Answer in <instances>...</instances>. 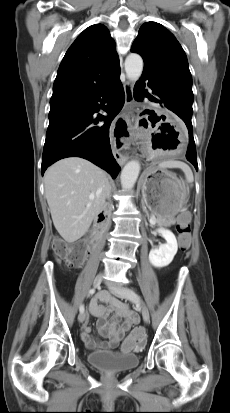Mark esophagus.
<instances>
[{"mask_svg": "<svg viewBox=\"0 0 230 413\" xmlns=\"http://www.w3.org/2000/svg\"><path fill=\"white\" fill-rule=\"evenodd\" d=\"M123 87H124V92H125V106H124L122 115H125V114L132 113L131 105L134 102V96H133L134 84L130 81H126ZM114 156L119 165L125 164V162L129 158L128 156L122 155L117 150H115Z\"/></svg>", "mask_w": 230, "mask_h": 413, "instance_id": "esophagus-1", "label": "esophagus"}]
</instances>
